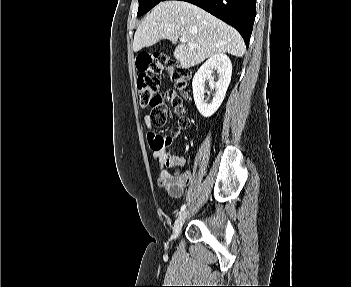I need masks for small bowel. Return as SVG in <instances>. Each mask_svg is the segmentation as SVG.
Here are the masks:
<instances>
[{
    "label": "small bowel",
    "instance_id": "small-bowel-1",
    "mask_svg": "<svg viewBox=\"0 0 351 287\" xmlns=\"http://www.w3.org/2000/svg\"><path fill=\"white\" fill-rule=\"evenodd\" d=\"M143 122L149 131L153 130L150 115H145ZM182 128L179 125V129ZM174 137V135L161 136L160 132H147L146 141L149 142V148L151 152H154L153 158L158 163V185L165 188L170 196L180 197L183 190L179 179L172 172L164 169V167L182 168L185 166L184 158L165 151V148L170 147V142Z\"/></svg>",
    "mask_w": 351,
    "mask_h": 287
}]
</instances>
